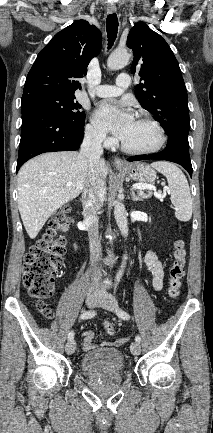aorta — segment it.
Returning <instances> with one entry per match:
<instances>
[{
  "instance_id": "obj_1",
  "label": "aorta",
  "mask_w": 213,
  "mask_h": 433,
  "mask_svg": "<svg viewBox=\"0 0 213 433\" xmlns=\"http://www.w3.org/2000/svg\"><path fill=\"white\" fill-rule=\"evenodd\" d=\"M129 60H130V54L127 52V50H116L109 56L107 61V66L111 70H119L125 67L128 64ZM114 216L121 234L124 237H127L128 236L127 212L124 204L119 200L115 201ZM126 259L127 257L124 256L121 269L118 271L116 275L117 282L120 281V278L123 275Z\"/></svg>"
}]
</instances>
